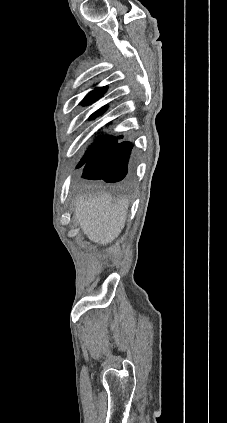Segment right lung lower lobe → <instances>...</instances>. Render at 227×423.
I'll return each mask as SVG.
<instances>
[{
    "mask_svg": "<svg viewBox=\"0 0 227 423\" xmlns=\"http://www.w3.org/2000/svg\"><path fill=\"white\" fill-rule=\"evenodd\" d=\"M132 147L130 142H122L99 152L86 162L82 177L105 182L121 181L127 174Z\"/></svg>",
    "mask_w": 227,
    "mask_h": 423,
    "instance_id": "98d812e1",
    "label": "right lung lower lobe"
}]
</instances>
